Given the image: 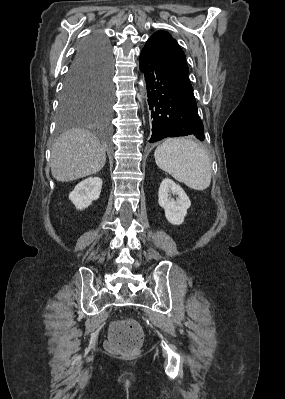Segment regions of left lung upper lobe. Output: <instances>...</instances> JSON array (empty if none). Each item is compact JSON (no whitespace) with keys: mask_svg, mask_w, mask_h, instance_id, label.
<instances>
[{"mask_svg":"<svg viewBox=\"0 0 285 399\" xmlns=\"http://www.w3.org/2000/svg\"><path fill=\"white\" fill-rule=\"evenodd\" d=\"M156 57L176 78L191 86L186 56L176 40L166 31H157L143 48Z\"/></svg>","mask_w":285,"mask_h":399,"instance_id":"left-lung-upper-lobe-1","label":"left lung upper lobe"}]
</instances>
